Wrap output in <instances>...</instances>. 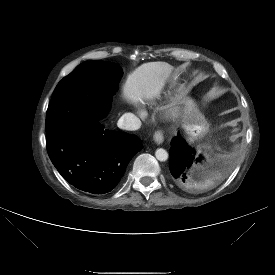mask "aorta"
I'll list each match as a JSON object with an SVG mask.
<instances>
[{"mask_svg":"<svg viewBox=\"0 0 275 275\" xmlns=\"http://www.w3.org/2000/svg\"><path fill=\"white\" fill-rule=\"evenodd\" d=\"M155 156L159 161H166L168 159V153L165 149L159 148L155 151Z\"/></svg>","mask_w":275,"mask_h":275,"instance_id":"762f6f07","label":"aorta"}]
</instances>
